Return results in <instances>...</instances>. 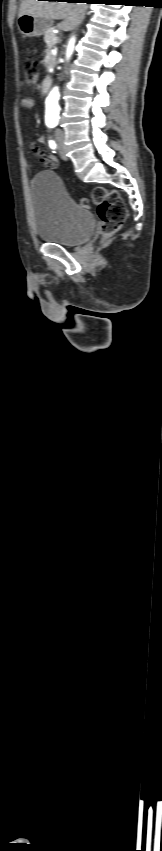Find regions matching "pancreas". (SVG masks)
<instances>
[{
  "instance_id": "pancreas-1",
  "label": "pancreas",
  "mask_w": 162,
  "mask_h": 851,
  "mask_svg": "<svg viewBox=\"0 0 162 851\" xmlns=\"http://www.w3.org/2000/svg\"><path fill=\"white\" fill-rule=\"evenodd\" d=\"M55 38L56 34H54L51 29L46 32L44 36V41L48 47H53L56 44V41H54Z\"/></svg>"
}]
</instances>
